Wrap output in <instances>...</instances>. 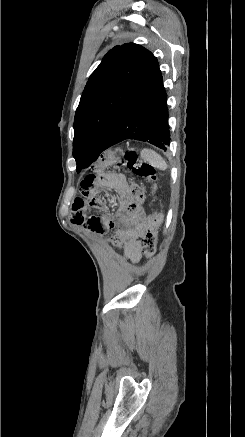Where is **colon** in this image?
<instances>
[{
    "label": "colon",
    "instance_id": "1",
    "mask_svg": "<svg viewBox=\"0 0 245 437\" xmlns=\"http://www.w3.org/2000/svg\"><path fill=\"white\" fill-rule=\"evenodd\" d=\"M126 166L136 175L144 178L149 183L156 180V171L153 166L139 159L135 151L129 150L124 153ZM145 200V190L141 185L134 184L130 187V202L132 209L139 207ZM161 223V214L152 212L148 217V226L143 237V251L147 258H151L156 252L158 241V229Z\"/></svg>",
    "mask_w": 245,
    "mask_h": 437
}]
</instances>
